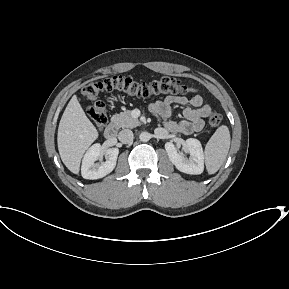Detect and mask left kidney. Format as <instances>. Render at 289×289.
I'll return each instance as SVG.
<instances>
[{
	"label": "left kidney",
	"mask_w": 289,
	"mask_h": 289,
	"mask_svg": "<svg viewBox=\"0 0 289 289\" xmlns=\"http://www.w3.org/2000/svg\"><path fill=\"white\" fill-rule=\"evenodd\" d=\"M184 147L186 152L190 154L189 158L179 152L173 143L167 142L165 150L170 161L180 172L192 175L201 174L204 170V154L200 141L189 138L185 141Z\"/></svg>",
	"instance_id": "left-kidney-1"
}]
</instances>
